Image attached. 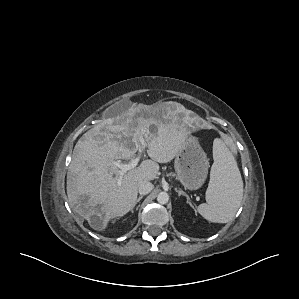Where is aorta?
Wrapping results in <instances>:
<instances>
[{
	"label": "aorta",
	"mask_w": 299,
	"mask_h": 299,
	"mask_svg": "<svg viewBox=\"0 0 299 299\" xmlns=\"http://www.w3.org/2000/svg\"><path fill=\"white\" fill-rule=\"evenodd\" d=\"M157 201L160 204H166L169 201V195L166 192H160L157 196Z\"/></svg>",
	"instance_id": "762f6f07"
}]
</instances>
